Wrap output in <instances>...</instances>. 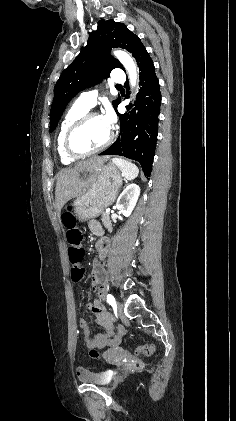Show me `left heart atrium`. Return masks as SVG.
I'll return each mask as SVG.
<instances>
[{
    "label": "left heart atrium",
    "instance_id": "1",
    "mask_svg": "<svg viewBox=\"0 0 236 421\" xmlns=\"http://www.w3.org/2000/svg\"><path fill=\"white\" fill-rule=\"evenodd\" d=\"M103 121L105 122L106 126L111 129L115 123V117L111 110H107L104 115L102 116Z\"/></svg>",
    "mask_w": 236,
    "mask_h": 421
}]
</instances>
